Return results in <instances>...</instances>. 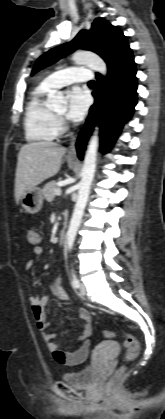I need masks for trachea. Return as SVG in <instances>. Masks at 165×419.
Instances as JSON below:
<instances>
[{
	"mask_svg": "<svg viewBox=\"0 0 165 419\" xmlns=\"http://www.w3.org/2000/svg\"><path fill=\"white\" fill-rule=\"evenodd\" d=\"M89 85H95L96 83H95V81H90L89 83H88Z\"/></svg>",
	"mask_w": 165,
	"mask_h": 419,
	"instance_id": "trachea-1",
	"label": "trachea"
}]
</instances>
